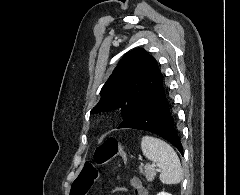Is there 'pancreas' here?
<instances>
[{
  "label": "pancreas",
  "mask_w": 240,
  "mask_h": 195,
  "mask_svg": "<svg viewBox=\"0 0 240 195\" xmlns=\"http://www.w3.org/2000/svg\"><path fill=\"white\" fill-rule=\"evenodd\" d=\"M139 169L140 173H144V175H146L147 181H153L156 175L154 167H151V165H145V167H141L140 165Z\"/></svg>",
  "instance_id": "cf45deb5"
}]
</instances>
